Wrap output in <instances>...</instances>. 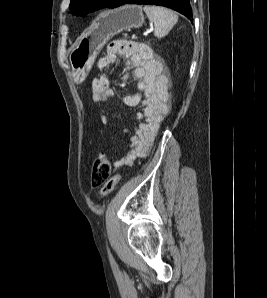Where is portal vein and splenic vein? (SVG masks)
Returning a JSON list of instances; mask_svg holds the SVG:
<instances>
[{"label":"portal vein and splenic vein","instance_id":"portal-vein-and-splenic-vein-1","mask_svg":"<svg viewBox=\"0 0 267 298\" xmlns=\"http://www.w3.org/2000/svg\"><path fill=\"white\" fill-rule=\"evenodd\" d=\"M149 33V31L148 32H146L145 34L147 35Z\"/></svg>","mask_w":267,"mask_h":298}]
</instances>
